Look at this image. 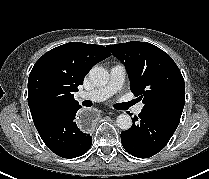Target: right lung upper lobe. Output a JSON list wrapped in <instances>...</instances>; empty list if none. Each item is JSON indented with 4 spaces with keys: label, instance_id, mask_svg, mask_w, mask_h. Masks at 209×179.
I'll return each mask as SVG.
<instances>
[{
    "label": "right lung upper lobe",
    "instance_id": "right-lung-upper-lobe-1",
    "mask_svg": "<svg viewBox=\"0 0 209 179\" xmlns=\"http://www.w3.org/2000/svg\"><path fill=\"white\" fill-rule=\"evenodd\" d=\"M110 52L101 45L70 42L46 52L28 79V105L38 131L64 111L80 106L73 93Z\"/></svg>",
    "mask_w": 209,
    "mask_h": 179
}]
</instances>
